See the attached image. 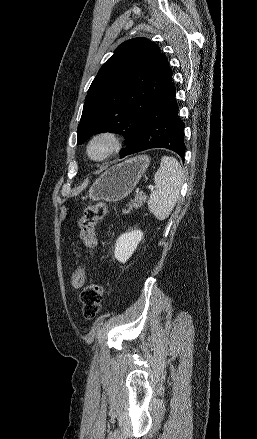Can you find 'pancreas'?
I'll return each mask as SVG.
<instances>
[{
	"instance_id": "pancreas-1",
	"label": "pancreas",
	"mask_w": 257,
	"mask_h": 439,
	"mask_svg": "<svg viewBox=\"0 0 257 439\" xmlns=\"http://www.w3.org/2000/svg\"><path fill=\"white\" fill-rule=\"evenodd\" d=\"M146 200H147V196L145 194L137 193L134 200H131V202L129 204H127L128 209L127 210L124 209L123 213L128 214L132 210L133 207L136 209L141 207L143 205V203L146 202Z\"/></svg>"
}]
</instances>
